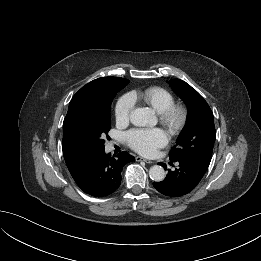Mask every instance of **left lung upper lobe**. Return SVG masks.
Here are the masks:
<instances>
[{
	"mask_svg": "<svg viewBox=\"0 0 261 261\" xmlns=\"http://www.w3.org/2000/svg\"><path fill=\"white\" fill-rule=\"evenodd\" d=\"M169 84L188 107L187 123L169 158L171 161H185L204 175L216 138L212 111L205 99L183 80L173 79Z\"/></svg>",
	"mask_w": 261,
	"mask_h": 261,
	"instance_id": "5c2ea615",
	"label": "left lung upper lobe"
}]
</instances>
